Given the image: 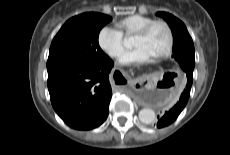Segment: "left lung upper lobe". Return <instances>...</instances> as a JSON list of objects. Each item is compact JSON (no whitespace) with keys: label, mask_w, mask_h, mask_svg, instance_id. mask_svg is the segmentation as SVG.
Returning <instances> with one entry per match:
<instances>
[{"label":"left lung upper lobe","mask_w":230,"mask_h":155,"mask_svg":"<svg viewBox=\"0 0 230 155\" xmlns=\"http://www.w3.org/2000/svg\"><path fill=\"white\" fill-rule=\"evenodd\" d=\"M157 15L162 17L172 30L174 36L173 57L186 75L189 72L193 73L195 66L194 45L186 26L169 13L158 12Z\"/></svg>","instance_id":"5c2ea615"}]
</instances>
